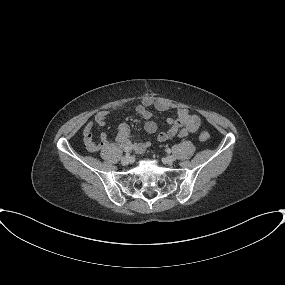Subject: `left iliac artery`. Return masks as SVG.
Masks as SVG:
<instances>
[{
	"mask_svg": "<svg viewBox=\"0 0 285 285\" xmlns=\"http://www.w3.org/2000/svg\"><path fill=\"white\" fill-rule=\"evenodd\" d=\"M166 151H167V153H171V150L169 148Z\"/></svg>",
	"mask_w": 285,
	"mask_h": 285,
	"instance_id": "44dca946",
	"label": "left iliac artery"
}]
</instances>
